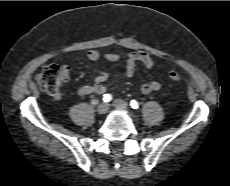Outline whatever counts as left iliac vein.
<instances>
[{
  "label": "left iliac vein",
  "mask_w": 230,
  "mask_h": 186,
  "mask_svg": "<svg viewBox=\"0 0 230 186\" xmlns=\"http://www.w3.org/2000/svg\"><path fill=\"white\" fill-rule=\"evenodd\" d=\"M113 106L119 110H127L128 109V104L126 101L122 99H116L113 101Z\"/></svg>",
  "instance_id": "obj_1"
}]
</instances>
